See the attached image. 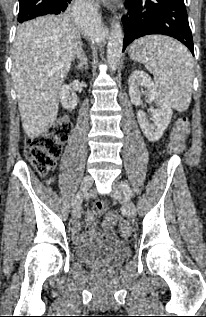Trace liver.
<instances>
[{"mask_svg": "<svg viewBox=\"0 0 206 317\" xmlns=\"http://www.w3.org/2000/svg\"><path fill=\"white\" fill-rule=\"evenodd\" d=\"M81 42L68 15L38 17L20 26L12 51V78L22 126L40 136L56 119L60 90Z\"/></svg>", "mask_w": 206, "mask_h": 317, "instance_id": "1", "label": "liver"}]
</instances>
